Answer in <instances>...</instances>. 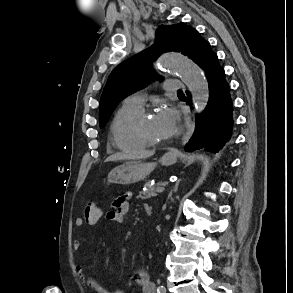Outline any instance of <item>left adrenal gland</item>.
I'll return each mask as SVG.
<instances>
[{"mask_svg":"<svg viewBox=\"0 0 293 293\" xmlns=\"http://www.w3.org/2000/svg\"><path fill=\"white\" fill-rule=\"evenodd\" d=\"M179 182H180V180H178V181L176 182V184H175V186H174L172 192H174V193L177 192V190H178V186H179ZM172 192H171V194H172Z\"/></svg>","mask_w":293,"mask_h":293,"instance_id":"left-adrenal-gland-1","label":"left adrenal gland"}]
</instances>
